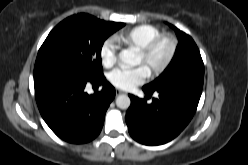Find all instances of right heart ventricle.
<instances>
[{
  "label": "right heart ventricle",
  "instance_id": "obj_1",
  "mask_svg": "<svg viewBox=\"0 0 248 165\" xmlns=\"http://www.w3.org/2000/svg\"><path fill=\"white\" fill-rule=\"evenodd\" d=\"M160 35L162 32L156 26L142 24L120 32L115 36V39L121 45L142 49L152 39Z\"/></svg>",
  "mask_w": 248,
  "mask_h": 165
}]
</instances>
